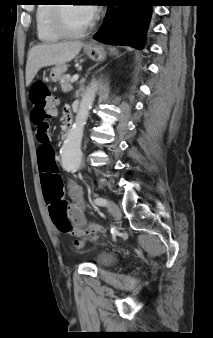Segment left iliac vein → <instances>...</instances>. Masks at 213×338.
Listing matches in <instances>:
<instances>
[{"instance_id":"obj_1","label":"left iliac vein","mask_w":213,"mask_h":338,"mask_svg":"<svg viewBox=\"0 0 213 338\" xmlns=\"http://www.w3.org/2000/svg\"><path fill=\"white\" fill-rule=\"evenodd\" d=\"M107 205L110 210V212L113 214L115 219L120 220L121 219V211L118 205L111 200H107Z\"/></svg>"}]
</instances>
